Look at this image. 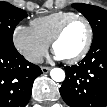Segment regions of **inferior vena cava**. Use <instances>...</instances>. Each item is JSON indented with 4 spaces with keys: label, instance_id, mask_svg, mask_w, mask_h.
<instances>
[{
    "label": "inferior vena cava",
    "instance_id": "inferior-vena-cava-1",
    "mask_svg": "<svg viewBox=\"0 0 107 107\" xmlns=\"http://www.w3.org/2000/svg\"><path fill=\"white\" fill-rule=\"evenodd\" d=\"M27 60L34 64L43 63V57L38 54L30 55Z\"/></svg>",
    "mask_w": 107,
    "mask_h": 107
}]
</instances>
